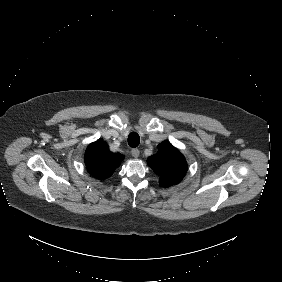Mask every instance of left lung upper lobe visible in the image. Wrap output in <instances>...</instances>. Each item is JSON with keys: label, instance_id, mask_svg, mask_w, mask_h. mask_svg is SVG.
Instances as JSON below:
<instances>
[{"label": "left lung upper lobe", "instance_id": "1", "mask_svg": "<svg viewBox=\"0 0 282 282\" xmlns=\"http://www.w3.org/2000/svg\"><path fill=\"white\" fill-rule=\"evenodd\" d=\"M148 165L160 177L162 187L178 184L187 172L185 157L169 141L158 145L155 155L147 159Z\"/></svg>", "mask_w": 282, "mask_h": 282}]
</instances>
